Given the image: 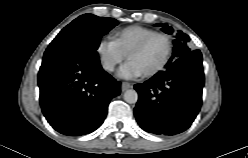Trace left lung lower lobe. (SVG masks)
I'll list each match as a JSON object with an SVG mask.
<instances>
[{
    "label": "left lung lower lobe",
    "instance_id": "0a47b994",
    "mask_svg": "<svg viewBox=\"0 0 248 158\" xmlns=\"http://www.w3.org/2000/svg\"><path fill=\"white\" fill-rule=\"evenodd\" d=\"M204 73L199 50L178 57L166 71L134 86V109L140 127L154 134L174 135L188 129L202 102Z\"/></svg>",
    "mask_w": 248,
    "mask_h": 158
}]
</instances>
